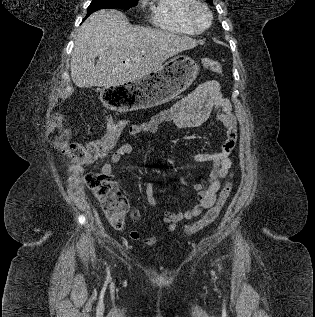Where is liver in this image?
<instances>
[{
    "instance_id": "liver-1",
    "label": "liver",
    "mask_w": 315,
    "mask_h": 317,
    "mask_svg": "<svg viewBox=\"0 0 315 317\" xmlns=\"http://www.w3.org/2000/svg\"><path fill=\"white\" fill-rule=\"evenodd\" d=\"M197 44L188 36L132 26L120 11L99 10L79 29L71 79L79 88L120 86L157 71L168 58Z\"/></svg>"
}]
</instances>
